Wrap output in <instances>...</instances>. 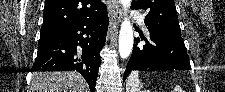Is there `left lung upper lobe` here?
I'll return each mask as SVG.
<instances>
[{
    "mask_svg": "<svg viewBox=\"0 0 225 92\" xmlns=\"http://www.w3.org/2000/svg\"><path fill=\"white\" fill-rule=\"evenodd\" d=\"M131 8L146 11V26L167 28L181 35L174 0H133Z\"/></svg>",
    "mask_w": 225,
    "mask_h": 92,
    "instance_id": "obj_1",
    "label": "left lung upper lobe"
}]
</instances>
